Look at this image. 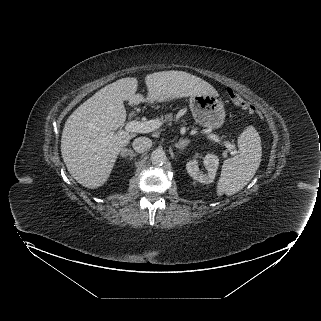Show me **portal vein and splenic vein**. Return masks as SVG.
<instances>
[{
    "mask_svg": "<svg viewBox=\"0 0 321 321\" xmlns=\"http://www.w3.org/2000/svg\"><path fill=\"white\" fill-rule=\"evenodd\" d=\"M162 126V122L160 120H149L146 122H139V121H131L129 122L125 129L128 132H137V133H149L152 132L159 127ZM208 139L213 140L217 143H223V145L231 151V154H235V151L233 150V145L228 141H222V138L215 134H209L207 136Z\"/></svg>",
    "mask_w": 321,
    "mask_h": 321,
    "instance_id": "1",
    "label": "portal vein and splenic vein"
}]
</instances>
